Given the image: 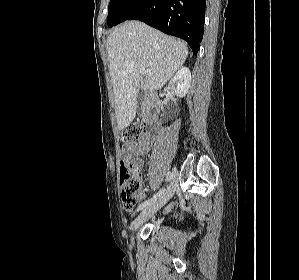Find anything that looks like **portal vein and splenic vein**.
Returning a JSON list of instances; mask_svg holds the SVG:
<instances>
[{"label": "portal vein and splenic vein", "mask_w": 299, "mask_h": 280, "mask_svg": "<svg viewBox=\"0 0 299 280\" xmlns=\"http://www.w3.org/2000/svg\"><path fill=\"white\" fill-rule=\"evenodd\" d=\"M141 75L151 74V70H147L145 68L140 69Z\"/></svg>", "instance_id": "1"}]
</instances>
